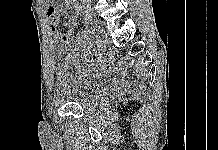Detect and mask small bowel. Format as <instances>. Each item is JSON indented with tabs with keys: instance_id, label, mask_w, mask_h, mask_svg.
I'll return each mask as SVG.
<instances>
[{
	"instance_id": "small-bowel-1",
	"label": "small bowel",
	"mask_w": 218,
	"mask_h": 150,
	"mask_svg": "<svg viewBox=\"0 0 218 150\" xmlns=\"http://www.w3.org/2000/svg\"><path fill=\"white\" fill-rule=\"evenodd\" d=\"M66 8H70L71 10H67ZM80 9L78 0H64L63 7L57 6L54 2L49 4L47 8V19L54 38L58 39L64 33L60 28V15L62 13L64 14V26L66 29L73 28Z\"/></svg>"
}]
</instances>
